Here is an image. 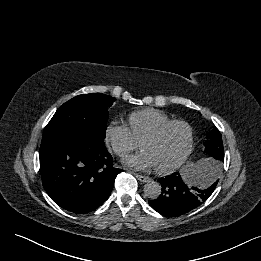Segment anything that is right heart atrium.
<instances>
[{"label": "right heart atrium", "mask_w": 261, "mask_h": 261, "mask_svg": "<svg viewBox=\"0 0 261 261\" xmlns=\"http://www.w3.org/2000/svg\"><path fill=\"white\" fill-rule=\"evenodd\" d=\"M104 138L109 148L119 157H125L138 147V141L129 128L115 122L106 126Z\"/></svg>", "instance_id": "right-heart-atrium-1"}]
</instances>
